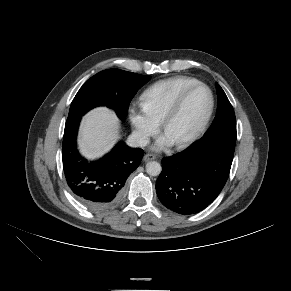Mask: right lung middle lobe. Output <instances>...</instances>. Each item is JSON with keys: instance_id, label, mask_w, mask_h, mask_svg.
Wrapping results in <instances>:
<instances>
[{"instance_id": "dd1d6c3e", "label": "right lung middle lobe", "mask_w": 291, "mask_h": 291, "mask_svg": "<svg viewBox=\"0 0 291 291\" xmlns=\"http://www.w3.org/2000/svg\"><path fill=\"white\" fill-rule=\"evenodd\" d=\"M150 78L119 69L104 70L80 88L71 103L68 118L82 116L96 106L106 105L124 120L130 101Z\"/></svg>"}]
</instances>
